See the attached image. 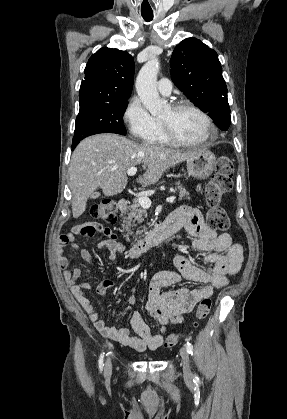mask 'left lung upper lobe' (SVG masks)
Here are the masks:
<instances>
[{
  "instance_id": "1",
  "label": "left lung upper lobe",
  "mask_w": 287,
  "mask_h": 419,
  "mask_svg": "<svg viewBox=\"0 0 287 419\" xmlns=\"http://www.w3.org/2000/svg\"><path fill=\"white\" fill-rule=\"evenodd\" d=\"M171 78L196 107L213 119L221 130L231 123L227 87L215 50L196 38L180 42L170 59Z\"/></svg>"
}]
</instances>
